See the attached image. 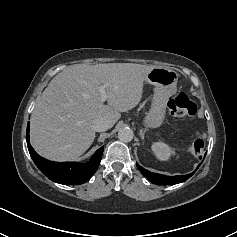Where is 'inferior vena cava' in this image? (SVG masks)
<instances>
[{
	"instance_id": "inferior-vena-cava-1",
	"label": "inferior vena cava",
	"mask_w": 237,
	"mask_h": 237,
	"mask_svg": "<svg viewBox=\"0 0 237 237\" xmlns=\"http://www.w3.org/2000/svg\"><path fill=\"white\" fill-rule=\"evenodd\" d=\"M109 128H110V123L108 120H106L104 118H98V119L94 120V122H93V129L96 132L106 131Z\"/></svg>"
}]
</instances>
